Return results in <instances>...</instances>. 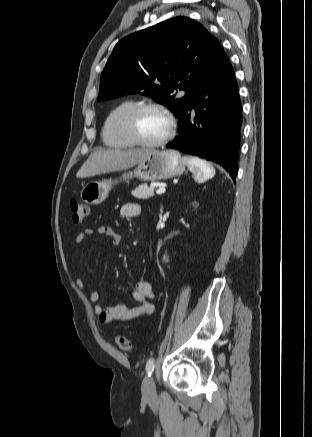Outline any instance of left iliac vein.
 Returning a JSON list of instances; mask_svg holds the SVG:
<instances>
[{"instance_id": "4c4485c4", "label": "left iliac vein", "mask_w": 312, "mask_h": 437, "mask_svg": "<svg viewBox=\"0 0 312 437\" xmlns=\"http://www.w3.org/2000/svg\"><path fill=\"white\" fill-rule=\"evenodd\" d=\"M142 394L146 398H153L156 395L155 382L152 376H149L144 380Z\"/></svg>"}]
</instances>
